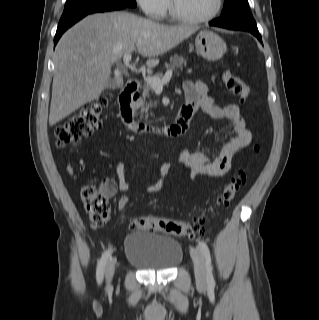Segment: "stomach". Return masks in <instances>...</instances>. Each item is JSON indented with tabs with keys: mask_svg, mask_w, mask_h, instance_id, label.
<instances>
[{
	"mask_svg": "<svg viewBox=\"0 0 319 320\" xmlns=\"http://www.w3.org/2000/svg\"><path fill=\"white\" fill-rule=\"evenodd\" d=\"M195 46L198 53L209 61L222 58L227 50L224 40L218 34L207 29L197 35Z\"/></svg>",
	"mask_w": 319,
	"mask_h": 320,
	"instance_id": "0dacf381",
	"label": "stomach"
}]
</instances>
